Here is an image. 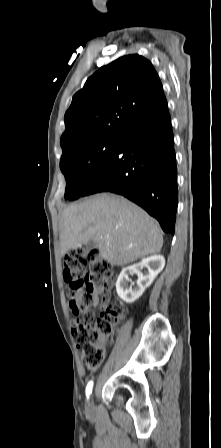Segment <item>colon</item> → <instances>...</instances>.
<instances>
[{
	"label": "colon",
	"instance_id": "obj_1",
	"mask_svg": "<svg viewBox=\"0 0 221 448\" xmlns=\"http://www.w3.org/2000/svg\"><path fill=\"white\" fill-rule=\"evenodd\" d=\"M113 275L111 264L97 251L82 256L74 250L64 257L63 276L69 285V307L73 313L82 316L73 327L72 335L89 369H96L102 363L113 329L123 317V308L116 301L109 303L97 319L90 310L93 296L108 292Z\"/></svg>",
	"mask_w": 221,
	"mask_h": 448
}]
</instances>
